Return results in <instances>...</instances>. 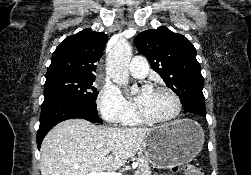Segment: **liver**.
Instances as JSON below:
<instances>
[{
    "label": "liver",
    "mask_w": 251,
    "mask_h": 175,
    "mask_svg": "<svg viewBox=\"0 0 251 175\" xmlns=\"http://www.w3.org/2000/svg\"><path fill=\"white\" fill-rule=\"evenodd\" d=\"M149 127H103L87 119H66L45 135L41 175H87L119 169L143 145ZM112 151L113 155H108Z\"/></svg>",
    "instance_id": "obj_1"
}]
</instances>
